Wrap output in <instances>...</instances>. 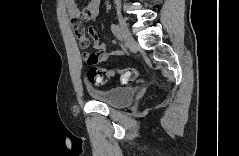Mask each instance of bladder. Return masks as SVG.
Returning <instances> with one entry per match:
<instances>
[{
    "instance_id": "1",
    "label": "bladder",
    "mask_w": 239,
    "mask_h": 156,
    "mask_svg": "<svg viewBox=\"0 0 239 156\" xmlns=\"http://www.w3.org/2000/svg\"><path fill=\"white\" fill-rule=\"evenodd\" d=\"M87 91L94 100L113 107L129 105L133 101L136 93L135 88L132 86L114 87L105 90L88 88Z\"/></svg>"
}]
</instances>
